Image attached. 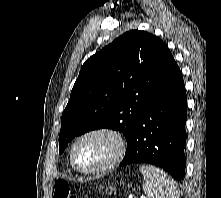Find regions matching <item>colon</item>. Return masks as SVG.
Returning a JSON list of instances; mask_svg holds the SVG:
<instances>
[{"instance_id": "obj_1", "label": "colon", "mask_w": 221, "mask_h": 198, "mask_svg": "<svg viewBox=\"0 0 221 198\" xmlns=\"http://www.w3.org/2000/svg\"><path fill=\"white\" fill-rule=\"evenodd\" d=\"M54 198H77V196L66 181L58 180L54 186Z\"/></svg>"}]
</instances>
